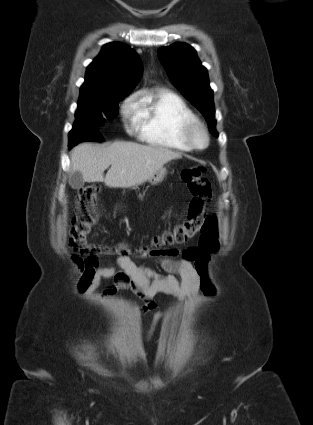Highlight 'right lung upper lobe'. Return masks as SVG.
I'll list each match as a JSON object with an SVG mask.
<instances>
[{"mask_svg":"<svg viewBox=\"0 0 313 425\" xmlns=\"http://www.w3.org/2000/svg\"><path fill=\"white\" fill-rule=\"evenodd\" d=\"M142 73V63L129 46L111 42L87 67L79 101L97 99L113 93L129 94Z\"/></svg>","mask_w":313,"mask_h":425,"instance_id":"cb5924a9","label":"right lung upper lobe"}]
</instances>
